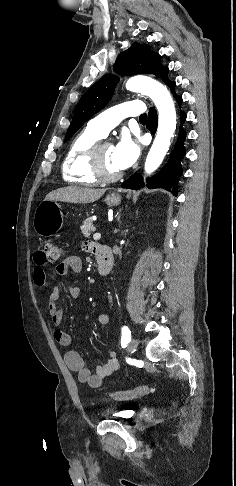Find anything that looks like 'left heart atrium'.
<instances>
[{
  "label": "left heart atrium",
  "instance_id": "left-heart-atrium-1",
  "mask_svg": "<svg viewBox=\"0 0 236 486\" xmlns=\"http://www.w3.org/2000/svg\"><path fill=\"white\" fill-rule=\"evenodd\" d=\"M114 160L120 170L130 167L140 154V146L128 134H123L114 146Z\"/></svg>",
  "mask_w": 236,
  "mask_h": 486
}]
</instances>
